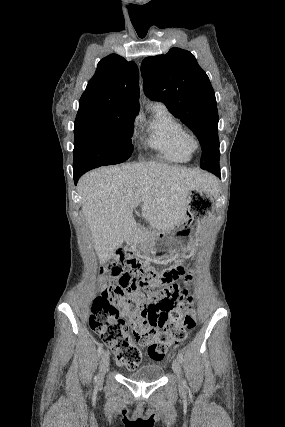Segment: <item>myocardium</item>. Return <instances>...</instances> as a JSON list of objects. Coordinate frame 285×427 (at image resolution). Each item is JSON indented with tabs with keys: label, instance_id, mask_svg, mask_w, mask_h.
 Here are the masks:
<instances>
[{
	"label": "myocardium",
	"instance_id": "obj_1",
	"mask_svg": "<svg viewBox=\"0 0 285 427\" xmlns=\"http://www.w3.org/2000/svg\"><path fill=\"white\" fill-rule=\"evenodd\" d=\"M182 141L185 147L191 152L197 150L200 146L197 135L191 131H183Z\"/></svg>",
	"mask_w": 285,
	"mask_h": 427
}]
</instances>
